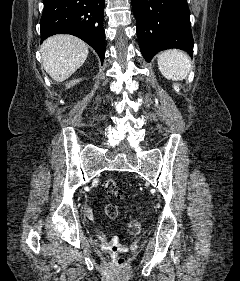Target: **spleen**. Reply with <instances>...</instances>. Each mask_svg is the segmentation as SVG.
Segmentation results:
<instances>
[{
  "mask_svg": "<svg viewBox=\"0 0 240 281\" xmlns=\"http://www.w3.org/2000/svg\"><path fill=\"white\" fill-rule=\"evenodd\" d=\"M157 64L162 75L173 81L185 79L191 69L189 56L178 49L161 52L158 55Z\"/></svg>",
  "mask_w": 240,
  "mask_h": 281,
  "instance_id": "1",
  "label": "spleen"
}]
</instances>
